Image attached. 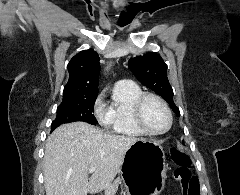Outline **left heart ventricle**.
<instances>
[{
    "label": "left heart ventricle",
    "mask_w": 240,
    "mask_h": 195,
    "mask_svg": "<svg viewBox=\"0 0 240 195\" xmlns=\"http://www.w3.org/2000/svg\"><path fill=\"white\" fill-rule=\"evenodd\" d=\"M144 120L149 128L160 131L165 128L167 118L161 105L153 100L148 99L143 107Z\"/></svg>",
    "instance_id": "b2bd125f"
}]
</instances>
